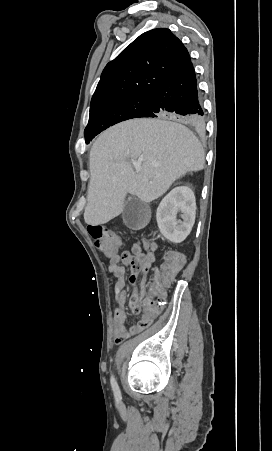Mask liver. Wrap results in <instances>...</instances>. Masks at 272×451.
Returning <instances> with one entry per match:
<instances>
[{
	"mask_svg": "<svg viewBox=\"0 0 272 451\" xmlns=\"http://www.w3.org/2000/svg\"><path fill=\"white\" fill-rule=\"evenodd\" d=\"M178 122L176 116L135 118L98 136L90 152L86 224L99 226L119 216L127 194L149 204L187 172L203 170L199 140ZM130 158L141 160L139 174Z\"/></svg>",
	"mask_w": 272,
	"mask_h": 451,
	"instance_id": "6515ba94",
	"label": "liver"
}]
</instances>
